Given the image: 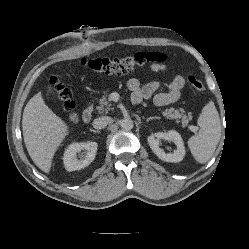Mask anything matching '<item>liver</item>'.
Instances as JSON below:
<instances>
[{"label": "liver", "instance_id": "6515ba94", "mask_svg": "<svg viewBox=\"0 0 249 249\" xmlns=\"http://www.w3.org/2000/svg\"><path fill=\"white\" fill-rule=\"evenodd\" d=\"M22 130L31 159L39 169L49 173L54 154L68 135L69 127L45 104L40 92L24 108Z\"/></svg>", "mask_w": 249, "mask_h": 249}]
</instances>
